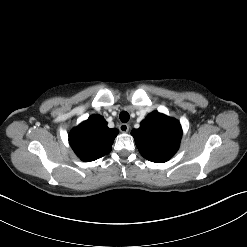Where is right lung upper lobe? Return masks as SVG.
Masks as SVG:
<instances>
[{"mask_svg": "<svg viewBox=\"0 0 247 247\" xmlns=\"http://www.w3.org/2000/svg\"><path fill=\"white\" fill-rule=\"evenodd\" d=\"M117 129H110L100 115H92L72 129L69 143L76 155L85 162L94 161L109 154Z\"/></svg>", "mask_w": 247, "mask_h": 247, "instance_id": "cb5924a9", "label": "right lung upper lobe"}]
</instances>
